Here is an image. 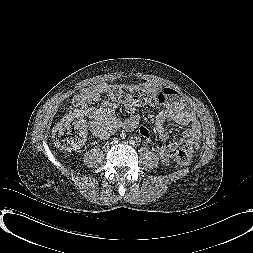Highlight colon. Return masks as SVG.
<instances>
[{"instance_id":"5ec220e1","label":"colon","mask_w":253,"mask_h":253,"mask_svg":"<svg viewBox=\"0 0 253 253\" xmlns=\"http://www.w3.org/2000/svg\"><path fill=\"white\" fill-rule=\"evenodd\" d=\"M108 92L115 97H122L136 103H144L146 101L144 90L134 86H111ZM85 137V126L82 120L74 115H68L56 126L53 141L57 148L63 151H73L82 145ZM175 158L180 166H188L191 161L190 151L186 148H179L175 152Z\"/></svg>"}]
</instances>
